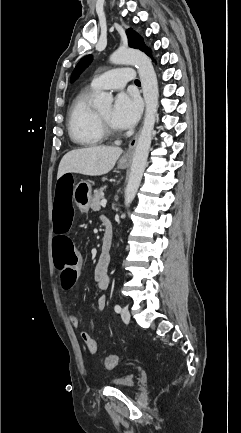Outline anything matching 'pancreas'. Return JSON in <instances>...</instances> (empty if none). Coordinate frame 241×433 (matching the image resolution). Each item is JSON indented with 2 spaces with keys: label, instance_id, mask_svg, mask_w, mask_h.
Segmentation results:
<instances>
[{
  "label": "pancreas",
  "instance_id": "1",
  "mask_svg": "<svg viewBox=\"0 0 241 433\" xmlns=\"http://www.w3.org/2000/svg\"><path fill=\"white\" fill-rule=\"evenodd\" d=\"M103 190L104 189H100L98 192H96V194L94 195L92 202L90 204V208L93 211H99L100 210V203L101 200L103 199Z\"/></svg>",
  "mask_w": 241,
  "mask_h": 433
}]
</instances>
